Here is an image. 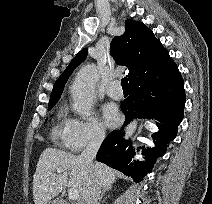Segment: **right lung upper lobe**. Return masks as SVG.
Returning a JSON list of instances; mask_svg holds the SVG:
<instances>
[{
	"label": "right lung upper lobe",
	"mask_w": 212,
	"mask_h": 204,
	"mask_svg": "<svg viewBox=\"0 0 212 204\" xmlns=\"http://www.w3.org/2000/svg\"><path fill=\"white\" fill-rule=\"evenodd\" d=\"M126 31L121 36L113 38L110 46L114 60L129 68L127 75L129 85L138 82L149 74L175 66L161 42L155 38L152 30L142 22L128 19L125 22ZM87 56V50L80 51L70 62L65 71L54 84L49 103L57 102L63 92L67 79Z\"/></svg>",
	"instance_id": "cb5924a9"
}]
</instances>
